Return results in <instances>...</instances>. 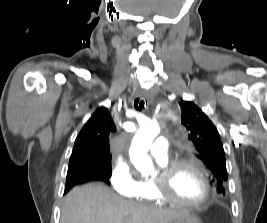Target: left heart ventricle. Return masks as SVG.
<instances>
[{
	"mask_svg": "<svg viewBox=\"0 0 267 223\" xmlns=\"http://www.w3.org/2000/svg\"><path fill=\"white\" fill-rule=\"evenodd\" d=\"M169 190L175 197L186 201H198L205 193V186L195 170L181 167L171 177Z\"/></svg>",
	"mask_w": 267,
	"mask_h": 223,
	"instance_id": "obj_1",
	"label": "left heart ventricle"
}]
</instances>
